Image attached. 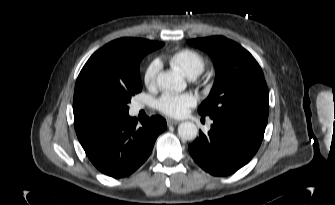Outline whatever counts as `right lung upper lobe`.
<instances>
[{"mask_svg":"<svg viewBox=\"0 0 335 205\" xmlns=\"http://www.w3.org/2000/svg\"><path fill=\"white\" fill-rule=\"evenodd\" d=\"M161 44V42L146 39L120 38L96 51L86 62L77 78L73 112L77 97L83 89L94 83L120 80L130 70L131 58L137 51L146 47H159ZM74 126L75 129L85 127L76 124Z\"/></svg>","mask_w":335,"mask_h":205,"instance_id":"obj_1","label":"right lung upper lobe"}]
</instances>
